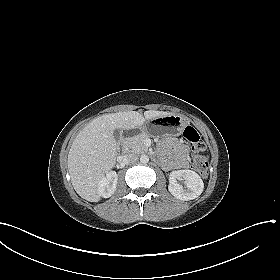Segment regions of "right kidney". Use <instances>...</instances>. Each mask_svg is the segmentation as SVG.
<instances>
[{
    "instance_id": "ca27d5eb",
    "label": "right kidney",
    "mask_w": 280,
    "mask_h": 280,
    "mask_svg": "<svg viewBox=\"0 0 280 280\" xmlns=\"http://www.w3.org/2000/svg\"><path fill=\"white\" fill-rule=\"evenodd\" d=\"M118 176L116 172L110 171L98 182V192L101 197L109 198L116 190Z\"/></svg>"
}]
</instances>
